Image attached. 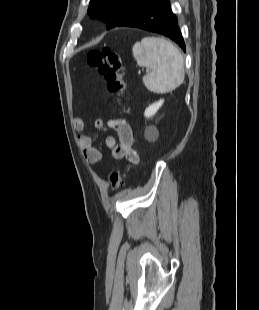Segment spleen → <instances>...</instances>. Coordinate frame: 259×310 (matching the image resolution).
I'll return each instance as SVG.
<instances>
[{
  "instance_id": "1",
  "label": "spleen",
  "mask_w": 259,
  "mask_h": 310,
  "mask_svg": "<svg viewBox=\"0 0 259 310\" xmlns=\"http://www.w3.org/2000/svg\"><path fill=\"white\" fill-rule=\"evenodd\" d=\"M132 52L137 64L147 68L143 76L146 88L163 94L179 87L185 78L184 58L170 41L160 37H144Z\"/></svg>"
}]
</instances>
